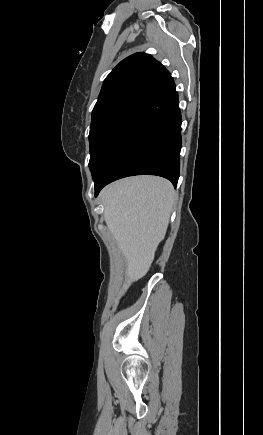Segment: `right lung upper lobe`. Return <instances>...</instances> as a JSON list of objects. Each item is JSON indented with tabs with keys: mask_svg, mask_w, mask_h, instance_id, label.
<instances>
[{
	"mask_svg": "<svg viewBox=\"0 0 263 435\" xmlns=\"http://www.w3.org/2000/svg\"><path fill=\"white\" fill-rule=\"evenodd\" d=\"M173 82L170 73L151 55L135 53L106 77L93 111L119 102L145 104Z\"/></svg>",
	"mask_w": 263,
	"mask_h": 435,
	"instance_id": "cb5924a9",
	"label": "right lung upper lobe"
}]
</instances>
